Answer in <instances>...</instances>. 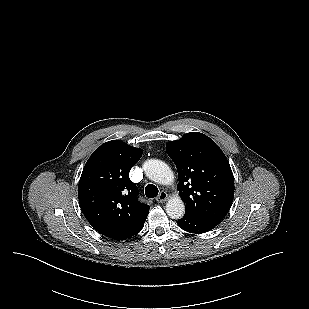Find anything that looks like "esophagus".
<instances>
[{
  "mask_svg": "<svg viewBox=\"0 0 309 309\" xmlns=\"http://www.w3.org/2000/svg\"><path fill=\"white\" fill-rule=\"evenodd\" d=\"M168 199V194L165 191H161L159 196L156 198L157 202L162 203Z\"/></svg>",
  "mask_w": 309,
  "mask_h": 309,
  "instance_id": "obj_1",
  "label": "esophagus"
}]
</instances>
